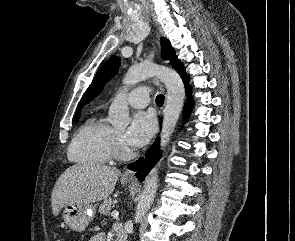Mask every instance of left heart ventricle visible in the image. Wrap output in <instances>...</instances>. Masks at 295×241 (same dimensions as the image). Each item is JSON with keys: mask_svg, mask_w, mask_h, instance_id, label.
<instances>
[{"mask_svg": "<svg viewBox=\"0 0 295 241\" xmlns=\"http://www.w3.org/2000/svg\"><path fill=\"white\" fill-rule=\"evenodd\" d=\"M124 130H116V134L123 140Z\"/></svg>", "mask_w": 295, "mask_h": 241, "instance_id": "obj_1", "label": "left heart ventricle"}]
</instances>
